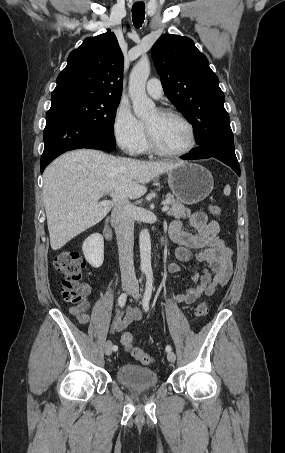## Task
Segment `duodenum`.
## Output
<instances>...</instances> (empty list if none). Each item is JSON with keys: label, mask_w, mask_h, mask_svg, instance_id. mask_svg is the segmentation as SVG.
I'll use <instances>...</instances> for the list:
<instances>
[{"label": "duodenum", "mask_w": 285, "mask_h": 453, "mask_svg": "<svg viewBox=\"0 0 285 453\" xmlns=\"http://www.w3.org/2000/svg\"><path fill=\"white\" fill-rule=\"evenodd\" d=\"M103 234H104V237H105L108 241H111V240H112V229H111L109 220H107V222H106V224H105V226H104Z\"/></svg>", "instance_id": "410a0bca"}]
</instances>
